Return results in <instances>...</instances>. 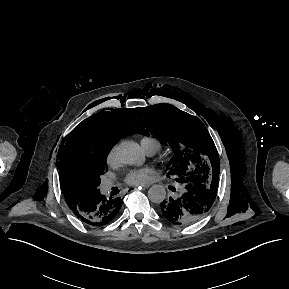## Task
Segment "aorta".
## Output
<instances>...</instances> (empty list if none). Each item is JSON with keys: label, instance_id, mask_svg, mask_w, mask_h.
I'll use <instances>...</instances> for the list:
<instances>
[{"label": "aorta", "instance_id": "obj_1", "mask_svg": "<svg viewBox=\"0 0 289 289\" xmlns=\"http://www.w3.org/2000/svg\"><path fill=\"white\" fill-rule=\"evenodd\" d=\"M119 160L127 165H141L145 161V156L140 146L130 140L122 141L117 148ZM148 198L151 202L159 204L166 198V190L162 185H153L148 190Z\"/></svg>", "mask_w": 289, "mask_h": 289}]
</instances>
